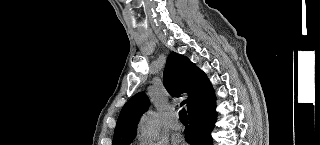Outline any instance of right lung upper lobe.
I'll use <instances>...</instances> for the list:
<instances>
[{
  "label": "right lung upper lobe",
  "instance_id": "obj_1",
  "mask_svg": "<svg viewBox=\"0 0 320 145\" xmlns=\"http://www.w3.org/2000/svg\"><path fill=\"white\" fill-rule=\"evenodd\" d=\"M163 82L168 92L178 96L188 93V99L181 104H187L188 112L198 106L204 99L210 81L188 58L171 52L168 56L163 73ZM149 99L144 92L134 95L120 112L113 145H128L136 136L137 123L141 115L148 109Z\"/></svg>",
  "mask_w": 320,
  "mask_h": 145
}]
</instances>
